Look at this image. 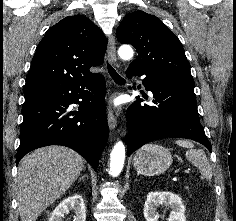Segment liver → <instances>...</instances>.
Wrapping results in <instances>:
<instances>
[{
    "instance_id": "1",
    "label": "liver",
    "mask_w": 236,
    "mask_h": 221,
    "mask_svg": "<svg viewBox=\"0 0 236 221\" xmlns=\"http://www.w3.org/2000/svg\"><path fill=\"white\" fill-rule=\"evenodd\" d=\"M83 168L82 156L63 146L42 147L25 156L16 180L21 221H36L70 188Z\"/></svg>"
}]
</instances>
